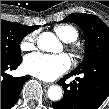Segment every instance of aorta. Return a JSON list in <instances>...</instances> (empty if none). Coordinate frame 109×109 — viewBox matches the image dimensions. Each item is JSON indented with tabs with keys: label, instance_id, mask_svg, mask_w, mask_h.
<instances>
[{
	"label": "aorta",
	"instance_id": "obj_1",
	"mask_svg": "<svg viewBox=\"0 0 109 109\" xmlns=\"http://www.w3.org/2000/svg\"><path fill=\"white\" fill-rule=\"evenodd\" d=\"M38 48L46 52H57L60 42L51 32L42 33L37 40ZM63 96L61 87L57 85L50 86L48 89V98L52 101H59Z\"/></svg>",
	"mask_w": 109,
	"mask_h": 109
}]
</instances>
